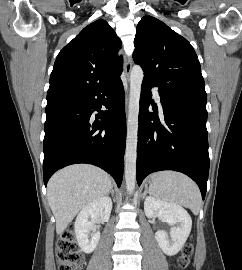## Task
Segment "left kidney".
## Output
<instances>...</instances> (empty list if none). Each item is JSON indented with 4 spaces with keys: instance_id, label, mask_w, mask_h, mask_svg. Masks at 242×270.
Returning <instances> with one entry per match:
<instances>
[{
    "instance_id": "left-kidney-1",
    "label": "left kidney",
    "mask_w": 242,
    "mask_h": 270,
    "mask_svg": "<svg viewBox=\"0 0 242 270\" xmlns=\"http://www.w3.org/2000/svg\"><path fill=\"white\" fill-rule=\"evenodd\" d=\"M144 211L147 217H158L161 221L172 226L169 232L170 239L164 230L157 231L155 239L166 255H176L182 249L191 231L192 219L188 212L180 205L151 196L145 199Z\"/></svg>"
}]
</instances>
